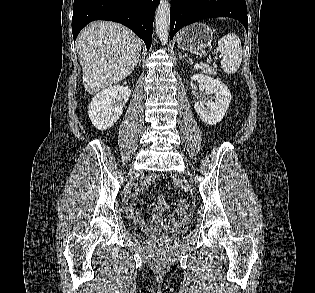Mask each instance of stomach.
I'll return each mask as SVG.
<instances>
[{
  "label": "stomach",
  "mask_w": 315,
  "mask_h": 293,
  "mask_svg": "<svg viewBox=\"0 0 315 293\" xmlns=\"http://www.w3.org/2000/svg\"><path fill=\"white\" fill-rule=\"evenodd\" d=\"M213 31L203 23H197L183 29L177 38L178 46L186 51H202L211 45Z\"/></svg>",
  "instance_id": "0dacf381"
}]
</instances>
